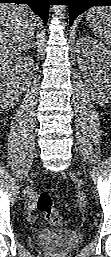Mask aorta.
<instances>
[{"label": "aorta", "instance_id": "aorta-1", "mask_svg": "<svg viewBox=\"0 0 111 257\" xmlns=\"http://www.w3.org/2000/svg\"><path fill=\"white\" fill-rule=\"evenodd\" d=\"M60 10L64 11L65 10V6H61Z\"/></svg>", "mask_w": 111, "mask_h": 257}]
</instances>
